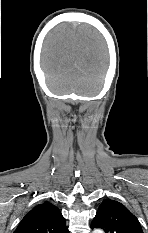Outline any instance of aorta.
I'll return each mask as SVG.
<instances>
[{
	"mask_svg": "<svg viewBox=\"0 0 148 233\" xmlns=\"http://www.w3.org/2000/svg\"><path fill=\"white\" fill-rule=\"evenodd\" d=\"M93 233H104V232L102 230H100V229H97V230H94Z\"/></svg>",
	"mask_w": 148,
	"mask_h": 233,
	"instance_id": "1",
	"label": "aorta"
}]
</instances>
